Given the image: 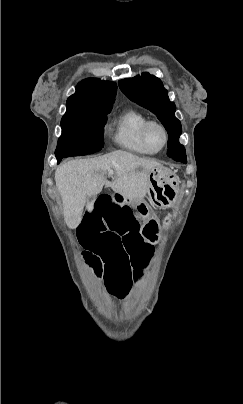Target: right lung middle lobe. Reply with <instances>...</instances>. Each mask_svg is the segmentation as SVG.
Returning <instances> with one entry per match:
<instances>
[{"label":"right lung middle lobe","mask_w":243,"mask_h":404,"mask_svg":"<svg viewBox=\"0 0 243 404\" xmlns=\"http://www.w3.org/2000/svg\"><path fill=\"white\" fill-rule=\"evenodd\" d=\"M111 109L112 107H108L92 112L65 113L61 120L62 136L55 150L57 163L65 157L100 151L104 146L106 115Z\"/></svg>","instance_id":"1"}]
</instances>
